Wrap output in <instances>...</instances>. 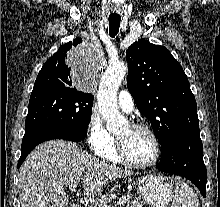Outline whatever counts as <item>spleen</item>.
<instances>
[{
	"mask_svg": "<svg viewBox=\"0 0 220 207\" xmlns=\"http://www.w3.org/2000/svg\"><path fill=\"white\" fill-rule=\"evenodd\" d=\"M172 207H199L197 195L185 182L176 183L175 196Z\"/></svg>",
	"mask_w": 220,
	"mask_h": 207,
	"instance_id": "spleen-1",
	"label": "spleen"
}]
</instances>
